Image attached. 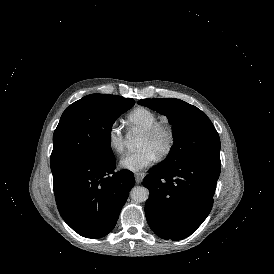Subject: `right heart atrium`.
I'll return each mask as SVG.
<instances>
[{
  "label": "right heart atrium",
  "mask_w": 274,
  "mask_h": 274,
  "mask_svg": "<svg viewBox=\"0 0 274 274\" xmlns=\"http://www.w3.org/2000/svg\"><path fill=\"white\" fill-rule=\"evenodd\" d=\"M106 140L108 147L114 152H121L124 149L125 140L121 127L112 123L107 130Z\"/></svg>",
  "instance_id": "right-heart-atrium-1"
}]
</instances>
